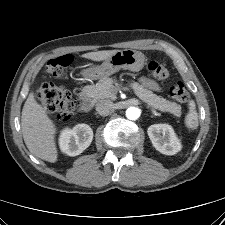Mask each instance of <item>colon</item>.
<instances>
[{
    "instance_id": "1",
    "label": "colon",
    "mask_w": 225,
    "mask_h": 225,
    "mask_svg": "<svg viewBox=\"0 0 225 225\" xmlns=\"http://www.w3.org/2000/svg\"><path fill=\"white\" fill-rule=\"evenodd\" d=\"M72 61L73 57L70 54L58 56L48 61L46 71L49 75L59 78ZM147 69L159 80H166L169 77L168 69L154 60L148 62ZM170 95L182 103L187 102L190 98L186 85L181 81L170 87ZM36 96L46 112L57 114L62 120L69 119L73 115L77 105L66 88L52 83L42 84L38 88Z\"/></svg>"
}]
</instances>
